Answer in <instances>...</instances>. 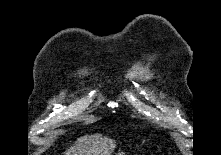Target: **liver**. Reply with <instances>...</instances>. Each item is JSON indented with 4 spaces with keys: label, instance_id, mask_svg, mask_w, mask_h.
Here are the masks:
<instances>
[{
    "label": "liver",
    "instance_id": "liver-1",
    "mask_svg": "<svg viewBox=\"0 0 221 155\" xmlns=\"http://www.w3.org/2000/svg\"><path fill=\"white\" fill-rule=\"evenodd\" d=\"M116 142L101 134L79 137L64 155H111Z\"/></svg>",
    "mask_w": 221,
    "mask_h": 155
}]
</instances>
